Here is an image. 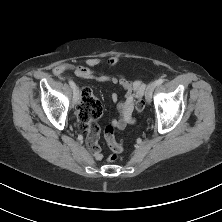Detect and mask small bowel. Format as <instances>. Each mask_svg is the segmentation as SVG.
<instances>
[{
  "label": "small bowel",
  "instance_id": "1",
  "mask_svg": "<svg viewBox=\"0 0 222 222\" xmlns=\"http://www.w3.org/2000/svg\"><path fill=\"white\" fill-rule=\"evenodd\" d=\"M104 62H106L109 66H114L118 63V58H90L86 61V65L84 66H76L70 63H59L53 67V73L55 75H61L65 71L71 70L79 78L94 79L100 82L119 84L124 89L125 96L122 101H119L118 95L116 93L112 95L113 102L117 104L119 117L114 119L110 126L117 129H124L128 124L134 122V103L136 99L143 96L145 85L138 80L131 81L122 76H112L103 72H98L94 69ZM96 121L97 119H92L88 123L86 129L87 144L95 159L101 160L103 155L101 153L100 147L98 146L100 128Z\"/></svg>",
  "mask_w": 222,
  "mask_h": 222
}]
</instances>
